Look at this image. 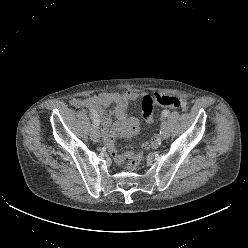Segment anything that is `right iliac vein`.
Instances as JSON below:
<instances>
[{
  "label": "right iliac vein",
  "instance_id": "right-iliac-vein-1",
  "mask_svg": "<svg viewBox=\"0 0 248 248\" xmlns=\"http://www.w3.org/2000/svg\"><path fill=\"white\" fill-rule=\"evenodd\" d=\"M90 137L94 142H98L100 139V132L98 131L97 127H94L91 129Z\"/></svg>",
  "mask_w": 248,
  "mask_h": 248
}]
</instances>
